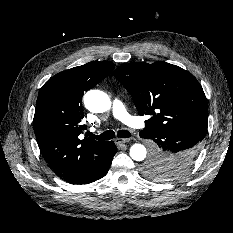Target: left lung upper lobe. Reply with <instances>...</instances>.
I'll return each mask as SVG.
<instances>
[{
  "instance_id": "1",
  "label": "left lung upper lobe",
  "mask_w": 233,
  "mask_h": 233,
  "mask_svg": "<svg viewBox=\"0 0 233 233\" xmlns=\"http://www.w3.org/2000/svg\"><path fill=\"white\" fill-rule=\"evenodd\" d=\"M113 75L130 93L139 114L150 116L142 131L183 130L198 135L202 142L208 127L207 99L191 73L157 61L125 64ZM143 171L158 180L161 172L172 171V167L163 159L152 157Z\"/></svg>"
}]
</instances>
